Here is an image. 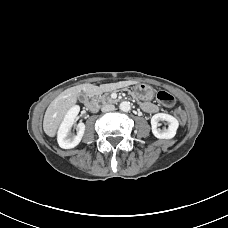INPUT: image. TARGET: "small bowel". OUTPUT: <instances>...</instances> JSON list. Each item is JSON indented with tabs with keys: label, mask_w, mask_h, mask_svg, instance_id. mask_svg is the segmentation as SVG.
<instances>
[{
	"label": "small bowel",
	"mask_w": 228,
	"mask_h": 228,
	"mask_svg": "<svg viewBox=\"0 0 228 228\" xmlns=\"http://www.w3.org/2000/svg\"><path fill=\"white\" fill-rule=\"evenodd\" d=\"M142 109L147 113H155L158 111V106L152 102H145L142 104Z\"/></svg>",
	"instance_id": "1"
}]
</instances>
